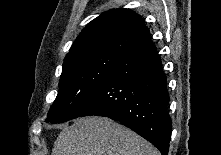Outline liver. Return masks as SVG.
Instances as JSON below:
<instances>
[{
  "label": "liver",
  "instance_id": "liver-1",
  "mask_svg": "<svg viewBox=\"0 0 221 155\" xmlns=\"http://www.w3.org/2000/svg\"><path fill=\"white\" fill-rule=\"evenodd\" d=\"M52 155H159L132 130L103 117L77 119L58 135Z\"/></svg>",
  "mask_w": 221,
  "mask_h": 155
}]
</instances>
